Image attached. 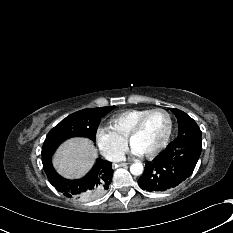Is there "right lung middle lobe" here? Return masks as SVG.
Instances as JSON below:
<instances>
[{
  "mask_svg": "<svg viewBox=\"0 0 233 233\" xmlns=\"http://www.w3.org/2000/svg\"><path fill=\"white\" fill-rule=\"evenodd\" d=\"M113 107L84 109L66 117L48 133L41 152L42 159L51 157L60 143L72 137H87L95 142L102 117Z\"/></svg>",
  "mask_w": 233,
  "mask_h": 233,
  "instance_id": "obj_1",
  "label": "right lung middle lobe"
}]
</instances>
